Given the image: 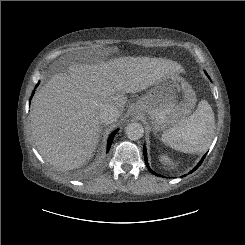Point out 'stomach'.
Here are the masks:
<instances>
[{
	"mask_svg": "<svg viewBox=\"0 0 245 245\" xmlns=\"http://www.w3.org/2000/svg\"><path fill=\"white\" fill-rule=\"evenodd\" d=\"M195 104L196 95L188 82L178 73H169L156 81L137 108L148 115L157 132L181 124Z\"/></svg>",
	"mask_w": 245,
	"mask_h": 245,
	"instance_id": "stomach-1",
	"label": "stomach"
}]
</instances>
